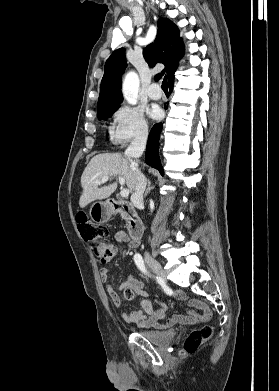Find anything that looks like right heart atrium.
I'll return each mask as SVG.
<instances>
[{"label": "right heart atrium", "mask_w": 279, "mask_h": 391, "mask_svg": "<svg viewBox=\"0 0 279 391\" xmlns=\"http://www.w3.org/2000/svg\"><path fill=\"white\" fill-rule=\"evenodd\" d=\"M148 134V122L143 111L123 104L112 114L110 137L117 146H124L133 140H142Z\"/></svg>", "instance_id": "right-heart-atrium-1"}]
</instances>
